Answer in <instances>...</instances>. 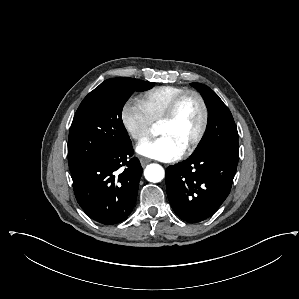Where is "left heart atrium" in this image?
Here are the masks:
<instances>
[{"mask_svg":"<svg viewBox=\"0 0 299 299\" xmlns=\"http://www.w3.org/2000/svg\"><path fill=\"white\" fill-rule=\"evenodd\" d=\"M136 152L142 156L173 161L180 158L184 149L166 136H160L153 140H145L136 147Z\"/></svg>","mask_w":299,"mask_h":299,"instance_id":"left-heart-atrium-1","label":"left heart atrium"}]
</instances>
